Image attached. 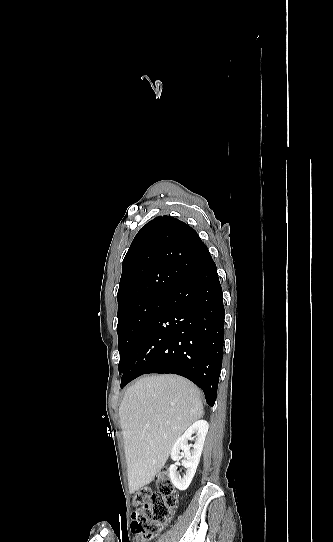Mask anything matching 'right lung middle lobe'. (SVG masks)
Wrapping results in <instances>:
<instances>
[{"label":"right lung middle lobe","instance_id":"obj_1","mask_svg":"<svg viewBox=\"0 0 333 542\" xmlns=\"http://www.w3.org/2000/svg\"><path fill=\"white\" fill-rule=\"evenodd\" d=\"M168 292L153 294L141 302L127 306L118 312V364L121 375L131 360L134 349L157 308L166 300Z\"/></svg>","mask_w":333,"mask_h":542}]
</instances>
